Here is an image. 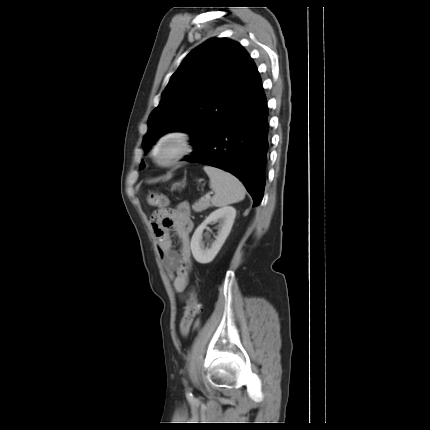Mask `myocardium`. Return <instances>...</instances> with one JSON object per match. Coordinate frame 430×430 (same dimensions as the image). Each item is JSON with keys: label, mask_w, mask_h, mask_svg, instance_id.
Here are the masks:
<instances>
[{"label": "myocardium", "mask_w": 430, "mask_h": 430, "mask_svg": "<svg viewBox=\"0 0 430 430\" xmlns=\"http://www.w3.org/2000/svg\"><path fill=\"white\" fill-rule=\"evenodd\" d=\"M169 143H174L176 149L168 157L162 158L161 152ZM191 151L192 142L190 135L184 131L171 130L163 133L154 142L151 148V158L158 166L170 167L188 156Z\"/></svg>", "instance_id": "obj_1"}]
</instances>
